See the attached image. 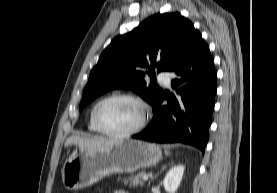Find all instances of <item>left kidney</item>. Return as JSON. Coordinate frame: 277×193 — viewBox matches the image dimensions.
<instances>
[{
  "mask_svg": "<svg viewBox=\"0 0 277 193\" xmlns=\"http://www.w3.org/2000/svg\"><path fill=\"white\" fill-rule=\"evenodd\" d=\"M185 166L183 164H178L173 166L165 175L163 180L164 189L168 193H175L180 185L183 177Z\"/></svg>",
  "mask_w": 277,
  "mask_h": 193,
  "instance_id": "left-kidney-1",
  "label": "left kidney"
}]
</instances>
